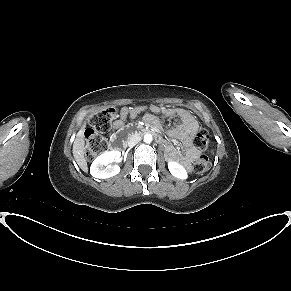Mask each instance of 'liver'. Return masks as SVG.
I'll list each match as a JSON object with an SVG mask.
<instances>
[{"mask_svg":"<svg viewBox=\"0 0 291 291\" xmlns=\"http://www.w3.org/2000/svg\"><path fill=\"white\" fill-rule=\"evenodd\" d=\"M85 125L82 126V128L78 131L76 138L73 143V156L76 160L78 166L84 171H88L87 161L84 157V129Z\"/></svg>","mask_w":291,"mask_h":291,"instance_id":"6515ba94","label":"liver"}]
</instances>
